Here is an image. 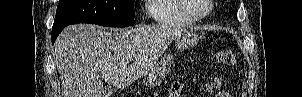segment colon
Listing matches in <instances>:
<instances>
[{
    "label": "colon",
    "mask_w": 302,
    "mask_h": 97,
    "mask_svg": "<svg viewBox=\"0 0 302 97\" xmlns=\"http://www.w3.org/2000/svg\"><path fill=\"white\" fill-rule=\"evenodd\" d=\"M216 63L220 66L230 67L236 63V56L231 51H221L216 54L215 57ZM222 79L220 76H215V79L212 83V88L216 89L220 87Z\"/></svg>",
    "instance_id": "1"
}]
</instances>
